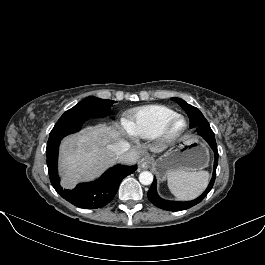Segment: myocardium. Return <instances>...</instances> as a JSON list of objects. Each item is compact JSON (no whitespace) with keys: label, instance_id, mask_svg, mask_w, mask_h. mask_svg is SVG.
I'll use <instances>...</instances> for the list:
<instances>
[{"label":"myocardium","instance_id":"1","mask_svg":"<svg viewBox=\"0 0 265 265\" xmlns=\"http://www.w3.org/2000/svg\"><path fill=\"white\" fill-rule=\"evenodd\" d=\"M181 121V126L176 128V122ZM188 123L186 118L176 113L170 119H168L162 126L157 139L163 144H173L178 141L182 135L186 132Z\"/></svg>","mask_w":265,"mask_h":265}]
</instances>
